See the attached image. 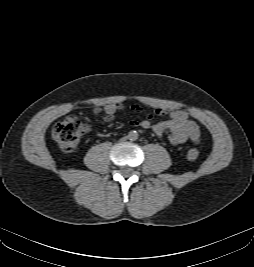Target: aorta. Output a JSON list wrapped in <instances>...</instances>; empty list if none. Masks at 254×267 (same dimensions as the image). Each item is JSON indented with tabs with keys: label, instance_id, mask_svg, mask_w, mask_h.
I'll list each match as a JSON object with an SVG mask.
<instances>
[{
	"label": "aorta",
	"instance_id": "obj_1",
	"mask_svg": "<svg viewBox=\"0 0 254 267\" xmlns=\"http://www.w3.org/2000/svg\"><path fill=\"white\" fill-rule=\"evenodd\" d=\"M128 139L131 141H135L138 139V133L136 131H130L128 134Z\"/></svg>",
	"mask_w": 254,
	"mask_h": 267
}]
</instances>
